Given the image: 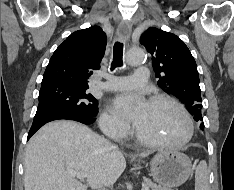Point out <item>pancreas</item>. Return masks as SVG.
<instances>
[{"mask_svg":"<svg viewBox=\"0 0 234 190\" xmlns=\"http://www.w3.org/2000/svg\"><path fill=\"white\" fill-rule=\"evenodd\" d=\"M143 184H144V186H147L148 188H151V190H169L167 188L156 185L155 183H153L151 180H149L147 178H144Z\"/></svg>","mask_w":234,"mask_h":190,"instance_id":"1","label":"pancreas"}]
</instances>
